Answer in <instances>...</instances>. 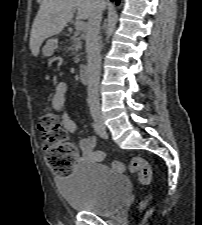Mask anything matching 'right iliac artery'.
I'll return each instance as SVG.
<instances>
[{
    "label": "right iliac artery",
    "mask_w": 202,
    "mask_h": 225,
    "mask_svg": "<svg viewBox=\"0 0 202 225\" xmlns=\"http://www.w3.org/2000/svg\"><path fill=\"white\" fill-rule=\"evenodd\" d=\"M92 127L94 131L102 138L107 139V134L106 132L99 126L97 123H92Z\"/></svg>",
    "instance_id": "obj_1"
}]
</instances>
